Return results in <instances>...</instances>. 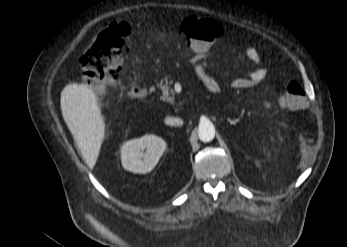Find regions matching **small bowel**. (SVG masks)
I'll return each mask as SVG.
<instances>
[{
	"mask_svg": "<svg viewBox=\"0 0 347 247\" xmlns=\"http://www.w3.org/2000/svg\"><path fill=\"white\" fill-rule=\"evenodd\" d=\"M218 49L214 46L208 51H195L190 61L195 66L196 73L204 86L213 93L220 90V85L216 79L208 72L207 58ZM244 55L248 61L256 65V68L248 76L235 77L230 81V85L235 89L250 88L262 82L267 76V68L261 63V56L255 47H248Z\"/></svg>",
	"mask_w": 347,
	"mask_h": 247,
	"instance_id": "1",
	"label": "small bowel"
}]
</instances>
